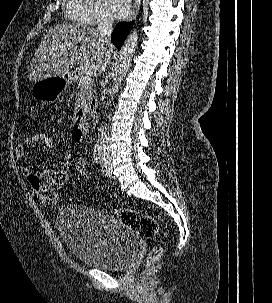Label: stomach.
<instances>
[{
	"instance_id": "stomach-1",
	"label": "stomach",
	"mask_w": 272,
	"mask_h": 303,
	"mask_svg": "<svg viewBox=\"0 0 272 303\" xmlns=\"http://www.w3.org/2000/svg\"><path fill=\"white\" fill-rule=\"evenodd\" d=\"M67 85L68 80L65 77H50L35 82L31 91L36 99L42 102H50L56 101Z\"/></svg>"
}]
</instances>
